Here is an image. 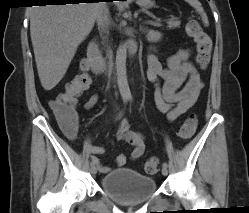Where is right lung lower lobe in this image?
<instances>
[{
    "label": "right lung lower lobe",
    "instance_id": "98d812e1",
    "mask_svg": "<svg viewBox=\"0 0 249 213\" xmlns=\"http://www.w3.org/2000/svg\"><path fill=\"white\" fill-rule=\"evenodd\" d=\"M44 2L42 3H54V4H66V3H78L84 0H43ZM88 1V0H87ZM89 1H94V0H89ZM103 1H113V0H103ZM93 3V2H92Z\"/></svg>",
    "mask_w": 249,
    "mask_h": 213
}]
</instances>
